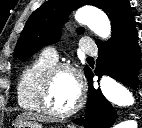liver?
<instances>
[{"instance_id": "obj_1", "label": "liver", "mask_w": 142, "mask_h": 128, "mask_svg": "<svg viewBox=\"0 0 142 128\" xmlns=\"http://www.w3.org/2000/svg\"><path fill=\"white\" fill-rule=\"evenodd\" d=\"M23 120L47 121L48 118L43 116V115L37 114V113L25 112V113L20 114L17 117L16 123L20 122V121H23Z\"/></svg>"}]
</instances>
